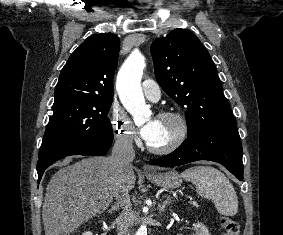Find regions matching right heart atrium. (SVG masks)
<instances>
[{
    "instance_id": "1",
    "label": "right heart atrium",
    "mask_w": 283,
    "mask_h": 235,
    "mask_svg": "<svg viewBox=\"0 0 283 235\" xmlns=\"http://www.w3.org/2000/svg\"><path fill=\"white\" fill-rule=\"evenodd\" d=\"M110 121L117 140L125 144H133L136 142V128L119 107H112Z\"/></svg>"
}]
</instances>
